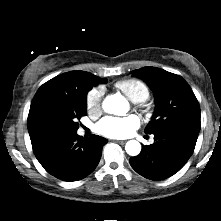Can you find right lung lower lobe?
<instances>
[{"label":"right lung lower lobe","instance_id":"1","mask_svg":"<svg viewBox=\"0 0 221 221\" xmlns=\"http://www.w3.org/2000/svg\"><path fill=\"white\" fill-rule=\"evenodd\" d=\"M107 139L92 135L82 138L77 132L60 133L34 152L43 168L63 181H78L97 167Z\"/></svg>","mask_w":221,"mask_h":221}]
</instances>
